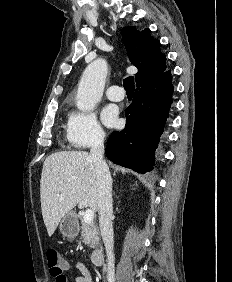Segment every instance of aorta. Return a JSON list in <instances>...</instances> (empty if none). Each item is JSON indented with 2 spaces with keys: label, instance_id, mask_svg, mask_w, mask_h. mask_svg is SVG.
<instances>
[{
  "label": "aorta",
  "instance_id": "obj_1",
  "mask_svg": "<svg viewBox=\"0 0 232 282\" xmlns=\"http://www.w3.org/2000/svg\"><path fill=\"white\" fill-rule=\"evenodd\" d=\"M106 76L107 62L102 58L96 59L85 68L76 95L79 110L90 111L96 106L103 95Z\"/></svg>",
  "mask_w": 232,
  "mask_h": 282
}]
</instances>
